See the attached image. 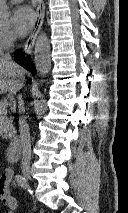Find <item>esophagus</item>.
I'll return each instance as SVG.
<instances>
[{
    "label": "esophagus",
    "instance_id": "1",
    "mask_svg": "<svg viewBox=\"0 0 128 213\" xmlns=\"http://www.w3.org/2000/svg\"><path fill=\"white\" fill-rule=\"evenodd\" d=\"M37 7H36V18L35 23L31 29L29 37L27 38L24 44V51L26 53H30L34 47L37 35L43 25L44 22V15H45V7L43 0H37Z\"/></svg>",
    "mask_w": 128,
    "mask_h": 213
}]
</instances>
